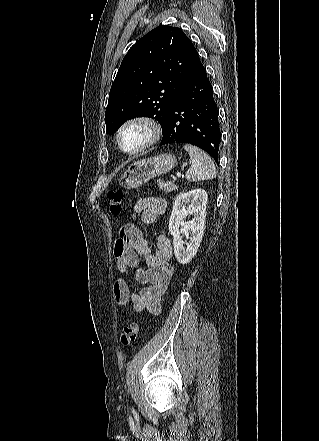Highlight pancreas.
I'll list each match as a JSON object with an SVG mask.
<instances>
[{"instance_id":"1","label":"pancreas","mask_w":319,"mask_h":441,"mask_svg":"<svg viewBox=\"0 0 319 441\" xmlns=\"http://www.w3.org/2000/svg\"><path fill=\"white\" fill-rule=\"evenodd\" d=\"M158 186L161 190H163L165 192H172L177 189V185H175L172 182H168V181L164 182V181L159 180Z\"/></svg>"}]
</instances>
